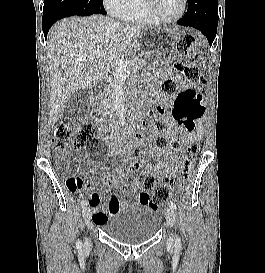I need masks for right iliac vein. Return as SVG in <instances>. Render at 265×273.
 I'll return each mask as SVG.
<instances>
[{
	"instance_id": "1",
	"label": "right iliac vein",
	"mask_w": 265,
	"mask_h": 273,
	"mask_svg": "<svg viewBox=\"0 0 265 273\" xmlns=\"http://www.w3.org/2000/svg\"><path fill=\"white\" fill-rule=\"evenodd\" d=\"M82 216H83V220H84L85 224L88 225L90 222V218H91L90 208H85L82 212ZM84 244H85V246H89L90 240L88 238H85Z\"/></svg>"
}]
</instances>
